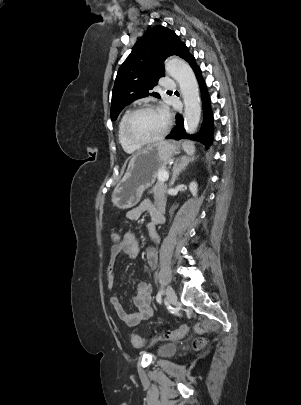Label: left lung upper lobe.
Listing matches in <instances>:
<instances>
[{"instance_id":"obj_1","label":"left lung upper lobe","mask_w":301,"mask_h":405,"mask_svg":"<svg viewBox=\"0 0 301 405\" xmlns=\"http://www.w3.org/2000/svg\"><path fill=\"white\" fill-rule=\"evenodd\" d=\"M177 55L187 60L191 55L186 45L170 29L160 26L140 38L133 51L121 65L112 91L111 120L117 119L130 102L158 93H149L164 76V61Z\"/></svg>"}]
</instances>
